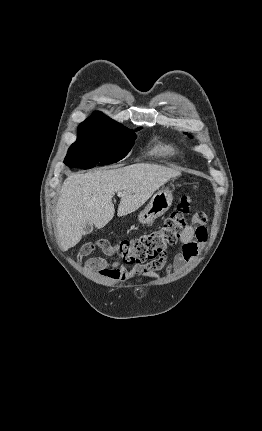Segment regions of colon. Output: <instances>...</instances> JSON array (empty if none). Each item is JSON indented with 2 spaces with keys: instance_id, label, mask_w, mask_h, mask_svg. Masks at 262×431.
Segmentation results:
<instances>
[{
  "instance_id": "1",
  "label": "colon",
  "mask_w": 262,
  "mask_h": 431,
  "mask_svg": "<svg viewBox=\"0 0 262 431\" xmlns=\"http://www.w3.org/2000/svg\"><path fill=\"white\" fill-rule=\"evenodd\" d=\"M196 202L192 196L181 198L176 210L159 228L140 233L138 236L121 242L99 239L85 244L79 256H85L99 248L105 255L121 264H140L163 257L167 248L176 243L187 227L190 218L197 216L202 224L207 218L204 213H195Z\"/></svg>"
}]
</instances>
